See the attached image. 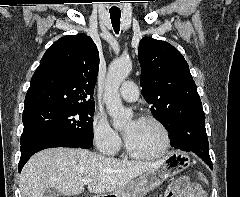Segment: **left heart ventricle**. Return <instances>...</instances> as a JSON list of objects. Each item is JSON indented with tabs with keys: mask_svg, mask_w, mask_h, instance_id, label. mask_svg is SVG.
Here are the masks:
<instances>
[{
	"mask_svg": "<svg viewBox=\"0 0 240 197\" xmlns=\"http://www.w3.org/2000/svg\"><path fill=\"white\" fill-rule=\"evenodd\" d=\"M132 123L130 122L125 126V133L132 128ZM126 140L131 149L140 154L155 153L163 145V135L159 127L152 122L141 120L137 121Z\"/></svg>",
	"mask_w": 240,
	"mask_h": 197,
	"instance_id": "b2bd125f",
	"label": "left heart ventricle"
}]
</instances>
